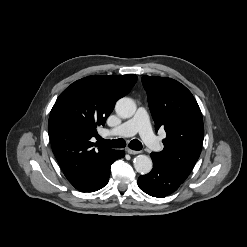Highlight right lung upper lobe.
I'll use <instances>...</instances> for the list:
<instances>
[{
    "mask_svg": "<svg viewBox=\"0 0 247 247\" xmlns=\"http://www.w3.org/2000/svg\"><path fill=\"white\" fill-rule=\"evenodd\" d=\"M136 81L135 74L88 76L57 98L49 116V138L64 175L79 191L95 183L108 167L116 150L95 149L90 139Z\"/></svg>",
    "mask_w": 247,
    "mask_h": 247,
    "instance_id": "obj_1",
    "label": "right lung upper lobe"
}]
</instances>
